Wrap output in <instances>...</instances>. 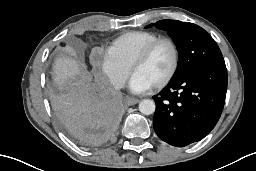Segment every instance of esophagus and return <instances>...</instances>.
Segmentation results:
<instances>
[{
    "label": "esophagus",
    "mask_w": 256,
    "mask_h": 171,
    "mask_svg": "<svg viewBox=\"0 0 256 171\" xmlns=\"http://www.w3.org/2000/svg\"><path fill=\"white\" fill-rule=\"evenodd\" d=\"M138 102H139V99L133 98V97H127V98L125 99V104H126L127 106L135 105V104H137Z\"/></svg>",
    "instance_id": "obj_1"
}]
</instances>
